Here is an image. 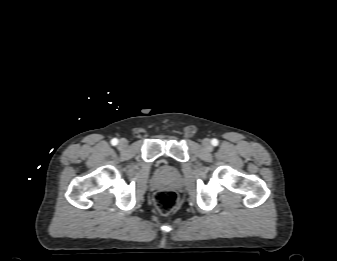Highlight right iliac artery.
<instances>
[{
	"mask_svg": "<svg viewBox=\"0 0 337 261\" xmlns=\"http://www.w3.org/2000/svg\"><path fill=\"white\" fill-rule=\"evenodd\" d=\"M111 144L114 145V146L117 145L118 144V139H116V138L112 139L111 140Z\"/></svg>",
	"mask_w": 337,
	"mask_h": 261,
	"instance_id": "obj_1",
	"label": "right iliac artery"
}]
</instances>
